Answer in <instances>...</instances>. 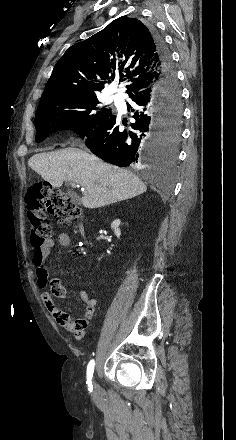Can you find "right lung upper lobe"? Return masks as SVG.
Here are the masks:
<instances>
[{
  "instance_id": "right-lung-upper-lobe-1",
  "label": "right lung upper lobe",
  "mask_w": 236,
  "mask_h": 440,
  "mask_svg": "<svg viewBox=\"0 0 236 440\" xmlns=\"http://www.w3.org/2000/svg\"><path fill=\"white\" fill-rule=\"evenodd\" d=\"M161 64L150 29L126 16L71 46L56 63L42 98L95 94L119 77L131 94L155 84Z\"/></svg>"
}]
</instances>
